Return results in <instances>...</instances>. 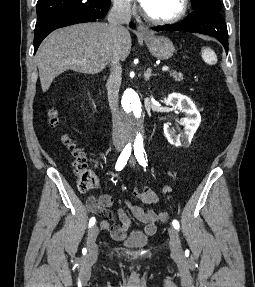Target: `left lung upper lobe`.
<instances>
[{"label": "left lung upper lobe", "instance_id": "1", "mask_svg": "<svg viewBox=\"0 0 255 287\" xmlns=\"http://www.w3.org/2000/svg\"><path fill=\"white\" fill-rule=\"evenodd\" d=\"M191 4L194 10L199 8H208L217 12L221 11L220 0H191Z\"/></svg>", "mask_w": 255, "mask_h": 287}]
</instances>
